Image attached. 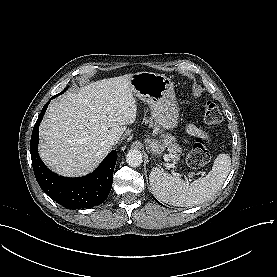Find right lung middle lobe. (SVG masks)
Instances as JSON below:
<instances>
[{"label": "right lung middle lobe", "mask_w": 277, "mask_h": 277, "mask_svg": "<svg viewBox=\"0 0 277 277\" xmlns=\"http://www.w3.org/2000/svg\"><path fill=\"white\" fill-rule=\"evenodd\" d=\"M67 88H68V87H66L61 93H59V94H57V95H55V96H53V97L55 98V97H57L58 95L62 94L65 90H67Z\"/></svg>", "instance_id": "obj_1"}]
</instances>
